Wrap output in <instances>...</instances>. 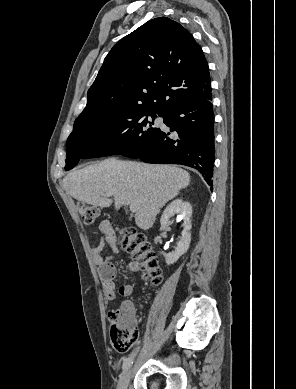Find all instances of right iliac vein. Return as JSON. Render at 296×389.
<instances>
[{"label": "right iliac vein", "mask_w": 296, "mask_h": 389, "mask_svg": "<svg viewBox=\"0 0 296 389\" xmlns=\"http://www.w3.org/2000/svg\"><path fill=\"white\" fill-rule=\"evenodd\" d=\"M130 377H131V369L129 368L126 371H124V373L122 374L118 383V389H127V386L130 381Z\"/></svg>", "instance_id": "right-iliac-vein-1"}]
</instances>
